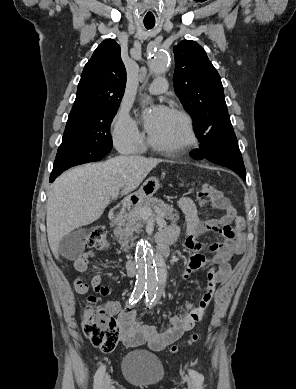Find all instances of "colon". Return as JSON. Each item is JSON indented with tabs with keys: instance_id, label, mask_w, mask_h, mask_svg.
Listing matches in <instances>:
<instances>
[{
	"instance_id": "1",
	"label": "colon",
	"mask_w": 296,
	"mask_h": 389,
	"mask_svg": "<svg viewBox=\"0 0 296 389\" xmlns=\"http://www.w3.org/2000/svg\"><path fill=\"white\" fill-rule=\"evenodd\" d=\"M197 198L201 206L205 207L210 201H220L223 199L218 192L208 184L202 186L197 193ZM82 242L86 247L105 249L108 246L106 231L101 226L92 227L82 238ZM96 302L95 297L88 298V305L86 306L82 316V327L85 336L90 343L104 352H111L117 345L120 338L119 322L109 313L105 307L94 306ZM204 314L193 315L195 321L202 319ZM199 335L194 333L188 339L185 345L189 346L197 342ZM179 346H173L171 351L178 352Z\"/></svg>"
}]
</instances>
